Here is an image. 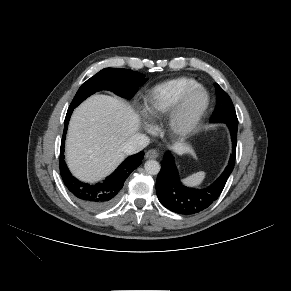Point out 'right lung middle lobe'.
Wrapping results in <instances>:
<instances>
[{
	"instance_id": "obj_1",
	"label": "right lung middle lobe",
	"mask_w": 291,
	"mask_h": 291,
	"mask_svg": "<svg viewBox=\"0 0 291 291\" xmlns=\"http://www.w3.org/2000/svg\"><path fill=\"white\" fill-rule=\"evenodd\" d=\"M146 81L147 78L136 71L105 68L82 84L69 108L77 107L87 97L100 90H110L121 97L131 98Z\"/></svg>"
}]
</instances>
